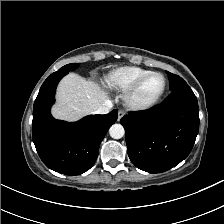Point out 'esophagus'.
<instances>
[{"label": "esophagus", "mask_w": 224, "mask_h": 224, "mask_svg": "<svg viewBox=\"0 0 224 224\" xmlns=\"http://www.w3.org/2000/svg\"><path fill=\"white\" fill-rule=\"evenodd\" d=\"M125 115V112L124 111H122V110H120L119 112H118V121H120L121 120V118L123 117Z\"/></svg>", "instance_id": "1"}]
</instances>
